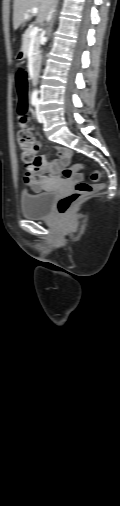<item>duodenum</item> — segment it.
<instances>
[{
  "instance_id": "1",
  "label": "duodenum",
  "mask_w": 120,
  "mask_h": 506,
  "mask_svg": "<svg viewBox=\"0 0 120 506\" xmlns=\"http://www.w3.org/2000/svg\"><path fill=\"white\" fill-rule=\"evenodd\" d=\"M16 56L18 58H25L27 56V51L24 49L23 46H18L17 49H16ZM38 72H39V64L38 62H34L33 64V68H32V80H36L37 77H38Z\"/></svg>"
}]
</instances>
